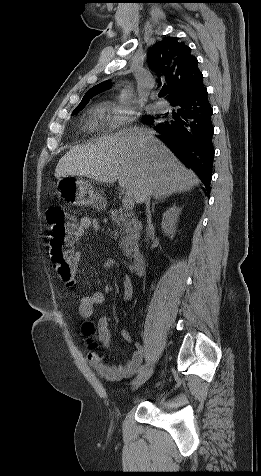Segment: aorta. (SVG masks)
Masks as SVG:
<instances>
[{
    "instance_id": "762f6f07",
    "label": "aorta",
    "mask_w": 261,
    "mask_h": 476,
    "mask_svg": "<svg viewBox=\"0 0 261 476\" xmlns=\"http://www.w3.org/2000/svg\"><path fill=\"white\" fill-rule=\"evenodd\" d=\"M129 98V95L128 93L125 94V99Z\"/></svg>"
}]
</instances>
